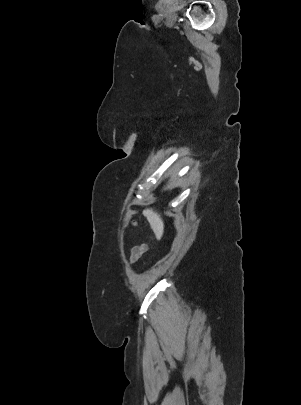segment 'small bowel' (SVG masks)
Listing matches in <instances>:
<instances>
[{
	"instance_id": "small-bowel-1",
	"label": "small bowel",
	"mask_w": 301,
	"mask_h": 405,
	"mask_svg": "<svg viewBox=\"0 0 301 405\" xmlns=\"http://www.w3.org/2000/svg\"><path fill=\"white\" fill-rule=\"evenodd\" d=\"M145 251V246L140 244V245H135L132 247L131 252H130V263L134 264L137 262V260L142 256V254Z\"/></svg>"
}]
</instances>
